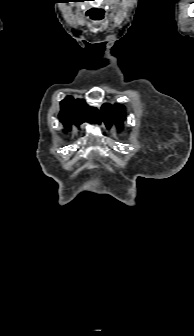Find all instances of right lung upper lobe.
<instances>
[{"label": "right lung upper lobe", "instance_id": "1", "mask_svg": "<svg viewBox=\"0 0 194 336\" xmlns=\"http://www.w3.org/2000/svg\"><path fill=\"white\" fill-rule=\"evenodd\" d=\"M59 117L67 129L73 123L79 125L87 121L101 122L100 113L96 108L89 107L84 100L75 101L72 97H67L61 102Z\"/></svg>", "mask_w": 194, "mask_h": 336}]
</instances>
